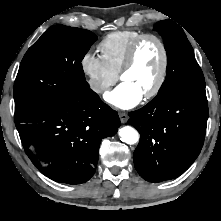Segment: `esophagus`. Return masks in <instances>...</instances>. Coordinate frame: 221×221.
<instances>
[{"label": "esophagus", "mask_w": 221, "mask_h": 221, "mask_svg": "<svg viewBox=\"0 0 221 221\" xmlns=\"http://www.w3.org/2000/svg\"><path fill=\"white\" fill-rule=\"evenodd\" d=\"M120 121L126 123L128 120V115L126 113H119Z\"/></svg>", "instance_id": "34e87169"}]
</instances>
